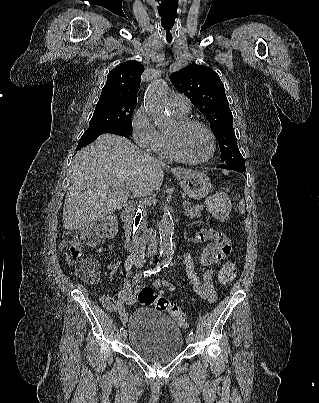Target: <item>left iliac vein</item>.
<instances>
[{
	"label": "left iliac vein",
	"instance_id": "4c4485c4",
	"mask_svg": "<svg viewBox=\"0 0 319 403\" xmlns=\"http://www.w3.org/2000/svg\"><path fill=\"white\" fill-rule=\"evenodd\" d=\"M194 341V337L193 336H187L186 337V342L188 343V344H190V343H192Z\"/></svg>",
	"mask_w": 319,
	"mask_h": 403
}]
</instances>
